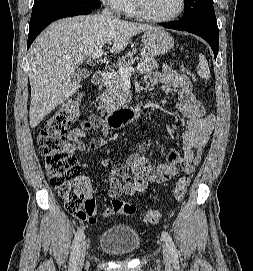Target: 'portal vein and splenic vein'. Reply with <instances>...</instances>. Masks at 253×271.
Wrapping results in <instances>:
<instances>
[{"label": "portal vein and splenic vein", "instance_id": "obj_1", "mask_svg": "<svg viewBox=\"0 0 253 271\" xmlns=\"http://www.w3.org/2000/svg\"><path fill=\"white\" fill-rule=\"evenodd\" d=\"M103 55V50H97L92 53L91 57L92 59L96 60L100 58ZM137 70L143 71L145 69V66L142 63H139L136 67ZM135 71V68L133 67H127V66H118V72L122 78H127L131 75L132 72Z\"/></svg>", "mask_w": 253, "mask_h": 271}]
</instances>
